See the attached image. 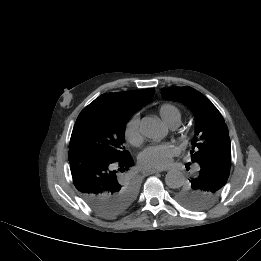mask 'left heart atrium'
<instances>
[{"instance_id": "left-heart-atrium-1", "label": "left heart atrium", "mask_w": 261, "mask_h": 261, "mask_svg": "<svg viewBox=\"0 0 261 261\" xmlns=\"http://www.w3.org/2000/svg\"><path fill=\"white\" fill-rule=\"evenodd\" d=\"M178 152V147L170 142L152 144L141 153L140 164L148 169H163L170 165Z\"/></svg>"}]
</instances>
